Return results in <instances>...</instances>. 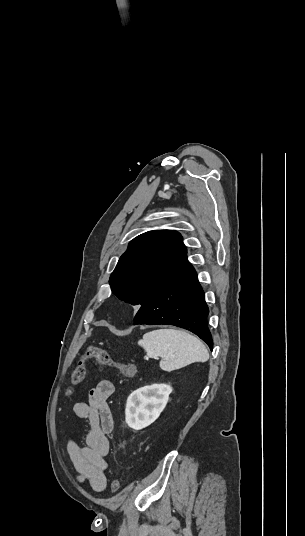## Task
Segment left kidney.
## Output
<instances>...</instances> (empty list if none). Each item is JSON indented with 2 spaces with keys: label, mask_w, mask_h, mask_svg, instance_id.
I'll return each instance as SVG.
<instances>
[{
  "label": "left kidney",
  "mask_w": 305,
  "mask_h": 536,
  "mask_svg": "<svg viewBox=\"0 0 305 536\" xmlns=\"http://www.w3.org/2000/svg\"><path fill=\"white\" fill-rule=\"evenodd\" d=\"M171 392L172 388L167 384H152L132 392L125 408V420L129 428L143 430L153 424L163 412Z\"/></svg>",
  "instance_id": "1"
}]
</instances>
